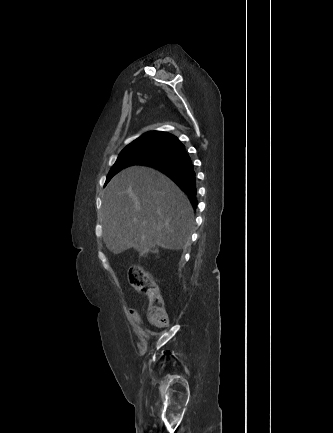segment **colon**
<instances>
[{
  "instance_id": "colon-1",
  "label": "colon",
  "mask_w": 333,
  "mask_h": 433,
  "mask_svg": "<svg viewBox=\"0 0 333 433\" xmlns=\"http://www.w3.org/2000/svg\"><path fill=\"white\" fill-rule=\"evenodd\" d=\"M128 278L130 285L149 299L148 319L157 327H164L168 318L163 299L158 286L152 276L142 267L133 266L129 269Z\"/></svg>"
}]
</instances>
